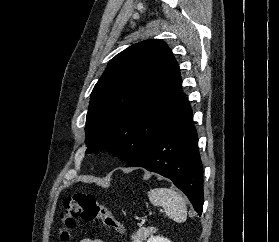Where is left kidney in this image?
<instances>
[{
	"mask_svg": "<svg viewBox=\"0 0 279 242\" xmlns=\"http://www.w3.org/2000/svg\"><path fill=\"white\" fill-rule=\"evenodd\" d=\"M147 242H171L167 238L160 237V236H151Z\"/></svg>",
	"mask_w": 279,
	"mask_h": 242,
	"instance_id": "left-kidney-1",
	"label": "left kidney"
}]
</instances>
